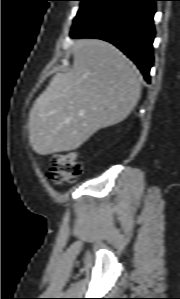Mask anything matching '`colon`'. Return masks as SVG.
<instances>
[{
	"mask_svg": "<svg viewBox=\"0 0 180 299\" xmlns=\"http://www.w3.org/2000/svg\"><path fill=\"white\" fill-rule=\"evenodd\" d=\"M83 166L73 152H59L52 155L49 179L53 184L75 182L82 174Z\"/></svg>",
	"mask_w": 180,
	"mask_h": 299,
	"instance_id": "obj_1",
	"label": "colon"
}]
</instances>
